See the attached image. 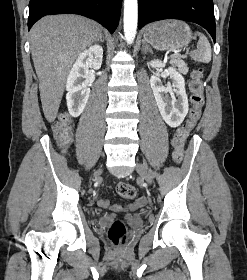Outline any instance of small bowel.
<instances>
[{"mask_svg":"<svg viewBox=\"0 0 247 280\" xmlns=\"http://www.w3.org/2000/svg\"><path fill=\"white\" fill-rule=\"evenodd\" d=\"M104 201V204L101 205V201ZM146 198L145 197H140L138 198L134 203L128 204L126 206H120V205H115L113 206V209L116 211L122 210V209H129V210H135V209H139L141 207H143L146 204ZM98 205L102 208H107L109 207V202L106 199H99L98 200Z\"/></svg>","mask_w":247,"mask_h":280,"instance_id":"small-bowel-1","label":"small bowel"}]
</instances>
